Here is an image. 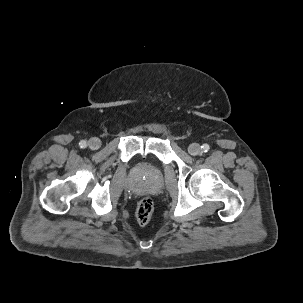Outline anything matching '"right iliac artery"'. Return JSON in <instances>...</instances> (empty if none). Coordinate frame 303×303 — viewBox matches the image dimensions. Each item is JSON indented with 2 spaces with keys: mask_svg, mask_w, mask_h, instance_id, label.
I'll list each match as a JSON object with an SVG mask.
<instances>
[{
  "mask_svg": "<svg viewBox=\"0 0 303 303\" xmlns=\"http://www.w3.org/2000/svg\"><path fill=\"white\" fill-rule=\"evenodd\" d=\"M79 145L81 148H85L87 146V143H86V141L82 140V141H80Z\"/></svg>",
  "mask_w": 303,
  "mask_h": 303,
  "instance_id": "obj_1",
  "label": "right iliac artery"
}]
</instances>
